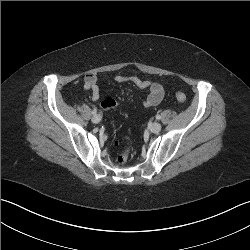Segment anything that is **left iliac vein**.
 I'll use <instances>...</instances> for the list:
<instances>
[{"mask_svg":"<svg viewBox=\"0 0 250 250\" xmlns=\"http://www.w3.org/2000/svg\"><path fill=\"white\" fill-rule=\"evenodd\" d=\"M162 126L158 122H154L151 124L150 129L153 133H158L161 130Z\"/></svg>","mask_w":250,"mask_h":250,"instance_id":"4c4485c4","label":"left iliac vein"}]
</instances>
